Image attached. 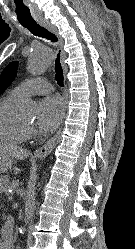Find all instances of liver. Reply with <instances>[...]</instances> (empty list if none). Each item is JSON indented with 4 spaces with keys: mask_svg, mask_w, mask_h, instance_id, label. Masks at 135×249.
<instances>
[{
    "mask_svg": "<svg viewBox=\"0 0 135 249\" xmlns=\"http://www.w3.org/2000/svg\"><path fill=\"white\" fill-rule=\"evenodd\" d=\"M0 154H5L9 157L23 160L30 155V152L18 146L0 144Z\"/></svg>",
    "mask_w": 135,
    "mask_h": 249,
    "instance_id": "obj_1",
    "label": "liver"
}]
</instances>
